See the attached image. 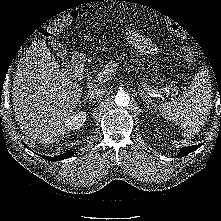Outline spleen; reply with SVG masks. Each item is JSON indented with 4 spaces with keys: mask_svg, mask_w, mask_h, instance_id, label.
Returning a JSON list of instances; mask_svg holds the SVG:
<instances>
[{
    "mask_svg": "<svg viewBox=\"0 0 221 221\" xmlns=\"http://www.w3.org/2000/svg\"><path fill=\"white\" fill-rule=\"evenodd\" d=\"M208 73L195 76L189 89L177 100L159 104L160 115L183 129L182 136L191 138L199 133L211 109V84Z\"/></svg>",
    "mask_w": 221,
    "mask_h": 221,
    "instance_id": "1",
    "label": "spleen"
}]
</instances>
